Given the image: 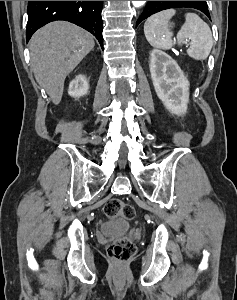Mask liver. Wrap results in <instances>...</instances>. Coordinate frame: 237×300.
<instances>
[{"label": "liver", "instance_id": "1", "mask_svg": "<svg viewBox=\"0 0 237 300\" xmlns=\"http://www.w3.org/2000/svg\"><path fill=\"white\" fill-rule=\"evenodd\" d=\"M94 45L90 33L66 21H54L34 33L29 41L32 71L54 105L62 99L67 75Z\"/></svg>", "mask_w": 237, "mask_h": 300}]
</instances>
